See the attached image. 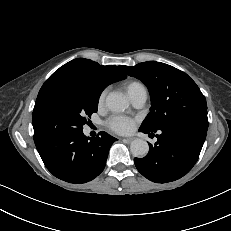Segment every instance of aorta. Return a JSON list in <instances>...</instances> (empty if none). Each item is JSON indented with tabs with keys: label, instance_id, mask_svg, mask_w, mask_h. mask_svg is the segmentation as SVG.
<instances>
[{
	"label": "aorta",
	"instance_id": "aorta-1",
	"mask_svg": "<svg viewBox=\"0 0 231 231\" xmlns=\"http://www.w3.org/2000/svg\"><path fill=\"white\" fill-rule=\"evenodd\" d=\"M106 106L110 111L119 113L128 107V102L122 95L110 93L106 97ZM130 150L134 157L143 158L149 152V145L143 139H135L130 145Z\"/></svg>",
	"mask_w": 231,
	"mask_h": 231
}]
</instances>
